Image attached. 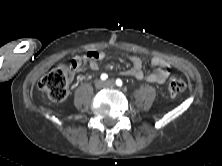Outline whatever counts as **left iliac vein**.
Segmentation results:
<instances>
[{"instance_id":"4c4485c4","label":"left iliac vein","mask_w":222,"mask_h":166,"mask_svg":"<svg viewBox=\"0 0 222 166\" xmlns=\"http://www.w3.org/2000/svg\"><path fill=\"white\" fill-rule=\"evenodd\" d=\"M105 85H106V86H113V85H114V81H113V80H107V81L105 82Z\"/></svg>"}]
</instances>
